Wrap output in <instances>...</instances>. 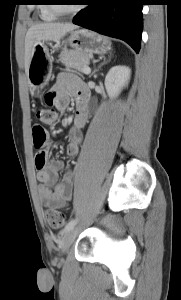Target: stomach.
<instances>
[{"mask_svg": "<svg viewBox=\"0 0 181 300\" xmlns=\"http://www.w3.org/2000/svg\"><path fill=\"white\" fill-rule=\"evenodd\" d=\"M70 45L74 50L88 56L105 54L110 49V41L97 33L86 29H76L70 32L67 39L57 41V46ZM52 70V59L45 42H38L34 46L33 55L28 72L30 89L34 94L49 81Z\"/></svg>", "mask_w": 181, "mask_h": 300, "instance_id": "1", "label": "stomach"}]
</instances>
